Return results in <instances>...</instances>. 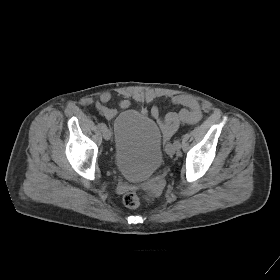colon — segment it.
Wrapping results in <instances>:
<instances>
[{
	"label": "colon",
	"mask_w": 280,
	"mask_h": 280,
	"mask_svg": "<svg viewBox=\"0 0 280 280\" xmlns=\"http://www.w3.org/2000/svg\"><path fill=\"white\" fill-rule=\"evenodd\" d=\"M123 202L129 208H136L141 203V197L137 192L131 191L124 195Z\"/></svg>",
	"instance_id": "obj_1"
}]
</instances>
